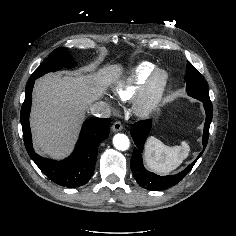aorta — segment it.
Segmentation results:
<instances>
[{"instance_id":"aorta-1","label":"aorta","mask_w":236,"mask_h":236,"mask_svg":"<svg viewBox=\"0 0 236 236\" xmlns=\"http://www.w3.org/2000/svg\"><path fill=\"white\" fill-rule=\"evenodd\" d=\"M114 147L120 151H125L130 146L129 138L125 134H116L113 137Z\"/></svg>"}]
</instances>
